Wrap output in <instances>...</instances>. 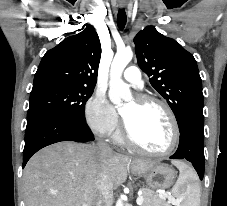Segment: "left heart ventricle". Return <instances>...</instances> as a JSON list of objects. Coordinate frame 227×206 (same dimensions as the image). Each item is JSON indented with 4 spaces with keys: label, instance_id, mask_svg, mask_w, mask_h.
<instances>
[{
    "label": "left heart ventricle",
    "instance_id": "left-heart-ventricle-1",
    "mask_svg": "<svg viewBox=\"0 0 227 206\" xmlns=\"http://www.w3.org/2000/svg\"><path fill=\"white\" fill-rule=\"evenodd\" d=\"M122 116L134 139L145 149L163 151L173 137L172 125L166 112L157 105H139L129 101L122 108Z\"/></svg>",
    "mask_w": 227,
    "mask_h": 206
}]
</instances>
